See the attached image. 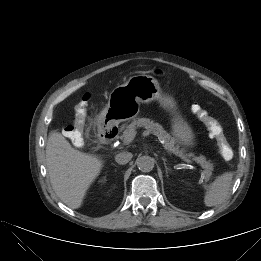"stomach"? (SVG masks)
<instances>
[{
  "mask_svg": "<svg viewBox=\"0 0 261 261\" xmlns=\"http://www.w3.org/2000/svg\"><path fill=\"white\" fill-rule=\"evenodd\" d=\"M158 101L172 115L171 128L175 140L185 148L196 145V135L191 126L180 116L174 98L164 94L159 82L150 75H135L123 85L115 87L107 106L98 116L100 125L109 127L134 119L140 111V103Z\"/></svg>",
  "mask_w": 261,
  "mask_h": 261,
  "instance_id": "obj_1",
  "label": "stomach"
}]
</instances>
